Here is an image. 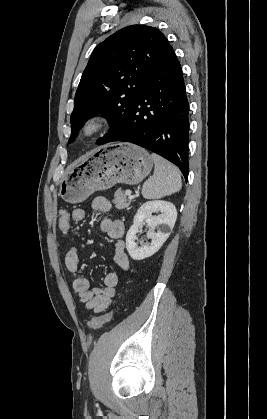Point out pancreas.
Wrapping results in <instances>:
<instances>
[{"label": "pancreas", "instance_id": "obj_1", "mask_svg": "<svg viewBox=\"0 0 267 419\" xmlns=\"http://www.w3.org/2000/svg\"><path fill=\"white\" fill-rule=\"evenodd\" d=\"M131 200H128L126 194L122 189H118L115 192L113 203L115 204L116 208L122 210L127 208L130 205Z\"/></svg>", "mask_w": 267, "mask_h": 419}]
</instances>
